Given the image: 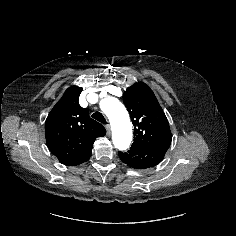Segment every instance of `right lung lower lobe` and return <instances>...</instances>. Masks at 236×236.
I'll return each mask as SVG.
<instances>
[{
    "label": "right lung lower lobe",
    "mask_w": 236,
    "mask_h": 236,
    "mask_svg": "<svg viewBox=\"0 0 236 236\" xmlns=\"http://www.w3.org/2000/svg\"><path fill=\"white\" fill-rule=\"evenodd\" d=\"M90 157V156H89ZM89 157H87L85 160H83L82 162H80L79 164H81V163H83V162H86L88 159H89ZM79 164H77V165H79Z\"/></svg>",
    "instance_id": "right-lung-lower-lobe-1"
}]
</instances>
